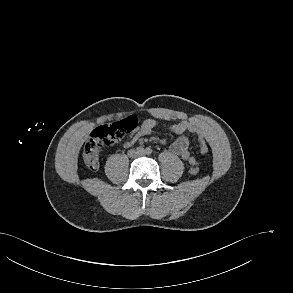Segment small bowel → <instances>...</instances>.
Returning a JSON list of instances; mask_svg holds the SVG:
<instances>
[{
    "label": "small bowel",
    "mask_w": 293,
    "mask_h": 293,
    "mask_svg": "<svg viewBox=\"0 0 293 293\" xmlns=\"http://www.w3.org/2000/svg\"><path fill=\"white\" fill-rule=\"evenodd\" d=\"M157 125L158 123L154 119L145 120L142 123L139 131L135 134L130 135L127 138V140L125 141V146H131L135 144L141 137L150 135L157 127ZM165 129L178 134H183L185 132L191 133L196 137L198 153L200 155H204L207 153L208 148L204 139V134L194 123L190 121H182L177 124L168 126ZM190 143V138L186 135H183L171 145L170 150L173 154L180 156L184 161L188 162L191 165H194L198 163V160L189 152Z\"/></svg>",
    "instance_id": "small-bowel-1"
}]
</instances>
